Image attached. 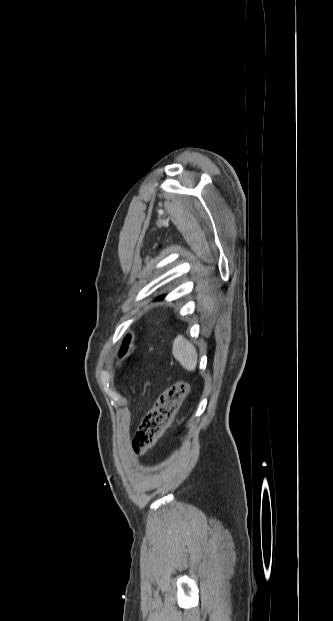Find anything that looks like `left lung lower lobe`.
<instances>
[{
	"mask_svg": "<svg viewBox=\"0 0 333 621\" xmlns=\"http://www.w3.org/2000/svg\"><path fill=\"white\" fill-rule=\"evenodd\" d=\"M165 297V295H162L160 297L157 298V300L163 299Z\"/></svg>",
	"mask_w": 333,
	"mask_h": 621,
	"instance_id": "left-lung-lower-lobe-1",
	"label": "left lung lower lobe"
}]
</instances>
